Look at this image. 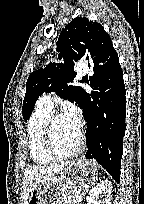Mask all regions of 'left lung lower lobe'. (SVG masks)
<instances>
[{
    "instance_id": "1",
    "label": "left lung lower lobe",
    "mask_w": 144,
    "mask_h": 204,
    "mask_svg": "<svg viewBox=\"0 0 144 204\" xmlns=\"http://www.w3.org/2000/svg\"><path fill=\"white\" fill-rule=\"evenodd\" d=\"M92 68L93 91H84L81 104L88 127L86 158L102 165L119 183L126 117L123 71L119 60L107 71L98 66Z\"/></svg>"
}]
</instances>
